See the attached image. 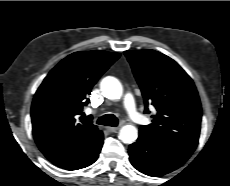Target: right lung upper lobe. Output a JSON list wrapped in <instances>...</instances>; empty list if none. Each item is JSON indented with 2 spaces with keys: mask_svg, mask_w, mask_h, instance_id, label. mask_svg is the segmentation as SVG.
<instances>
[{
  "mask_svg": "<svg viewBox=\"0 0 230 186\" xmlns=\"http://www.w3.org/2000/svg\"><path fill=\"white\" fill-rule=\"evenodd\" d=\"M106 51L75 52L59 62L35 93L31 118L41 152L66 168L78 162L103 138L83 115L87 94L100 76L119 58Z\"/></svg>",
  "mask_w": 230,
  "mask_h": 186,
  "instance_id": "obj_1",
  "label": "right lung upper lobe"
}]
</instances>
